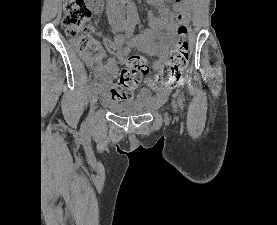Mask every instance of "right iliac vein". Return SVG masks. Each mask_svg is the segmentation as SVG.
I'll return each mask as SVG.
<instances>
[{
  "label": "right iliac vein",
  "instance_id": "right-iliac-vein-1",
  "mask_svg": "<svg viewBox=\"0 0 277 225\" xmlns=\"http://www.w3.org/2000/svg\"><path fill=\"white\" fill-rule=\"evenodd\" d=\"M97 99H98V93L96 90H93V92L91 93V110L92 111H94V109H95Z\"/></svg>",
  "mask_w": 277,
  "mask_h": 225
}]
</instances>
